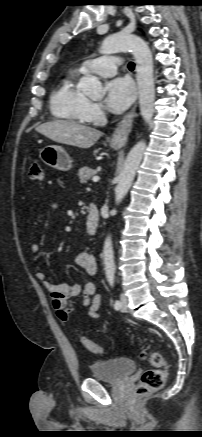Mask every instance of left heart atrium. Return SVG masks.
I'll use <instances>...</instances> for the list:
<instances>
[{
	"instance_id": "obj_1",
	"label": "left heart atrium",
	"mask_w": 202,
	"mask_h": 437,
	"mask_svg": "<svg viewBox=\"0 0 202 437\" xmlns=\"http://www.w3.org/2000/svg\"><path fill=\"white\" fill-rule=\"evenodd\" d=\"M135 98L133 83L128 78H115L106 84L105 103L113 113L127 109Z\"/></svg>"
}]
</instances>
